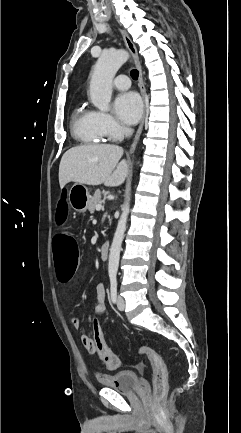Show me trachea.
I'll return each instance as SVG.
<instances>
[{
	"mask_svg": "<svg viewBox=\"0 0 241 433\" xmlns=\"http://www.w3.org/2000/svg\"><path fill=\"white\" fill-rule=\"evenodd\" d=\"M138 76H139V72H138V70L133 69V70L131 71V77H132L134 80H137V79H138Z\"/></svg>",
	"mask_w": 241,
	"mask_h": 433,
	"instance_id": "3493384b",
	"label": "trachea"
}]
</instances>
